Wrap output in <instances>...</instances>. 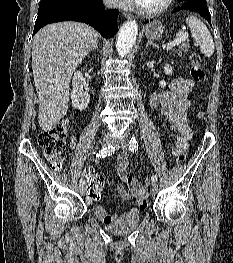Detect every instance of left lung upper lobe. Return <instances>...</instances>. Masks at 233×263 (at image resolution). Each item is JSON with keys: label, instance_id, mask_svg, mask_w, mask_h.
<instances>
[{"label": "left lung upper lobe", "instance_id": "5c2ea615", "mask_svg": "<svg viewBox=\"0 0 233 263\" xmlns=\"http://www.w3.org/2000/svg\"><path fill=\"white\" fill-rule=\"evenodd\" d=\"M180 3L182 2H196V3H206V0H178Z\"/></svg>", "mask_w": 233, "mask_h": 263}]
</instances>
